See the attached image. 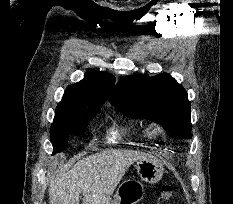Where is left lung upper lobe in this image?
I'll return each mask as SVG.
<instances>
[{"instance_id":"1","label":"left lung upper lobe","mask_w":233,"mask_h":204,"mask_svg":"<svg viewBox=\"0 0 233 204\" xmlns=\"http://www.w3.org/2000/svg\"><path fill=\"white\" fill-rule=\"evenodd\" d=\"M110 102L129 118L154 121L177 138L192 137L187 92L168 74L153 77L135 74L122 78Z\"/></svg>"}]
</instances>
